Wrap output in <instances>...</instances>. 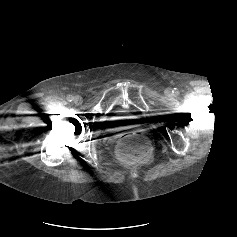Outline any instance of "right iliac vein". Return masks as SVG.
<instances>
[{
	"instance_id": "63e3f726",
	"label": "right iliac vein",
	"mask_w": 237,
	"mask_h": 237,
	"mask_svg": "<svg viewBox=\"0 0 237 237\" xmlns=\"http://www.w3.org/2000/svg\"><path fill=\"white\" fill-rule=\"evenodd\" d=\"M73 101L76 105H81L83 102V99L80 96H75Z\"/></svg>"
}]
</instances>
